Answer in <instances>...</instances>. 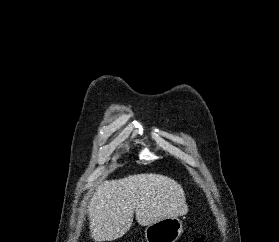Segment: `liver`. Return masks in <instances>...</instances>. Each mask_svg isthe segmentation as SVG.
I'll list each match as a JSON object with an SVG mask.
<instances>
[{"mask_svg":"<svg viewBox=\"0 0 279 242\" xmlns=\"http://www.w3.org/2000/svg\"><path fill=\"white\" fill-rule=\"evenodd\" d=\"M134 211L137 222L148 226L167 217L188 212L182 186L160 174H137L104 181L88 207L91 237L113 241L131 227Z\"/></svg>","mask_w":279,"mask_h":242,"instance_id":"6515ba94","label":"liver"}]
</instances>
